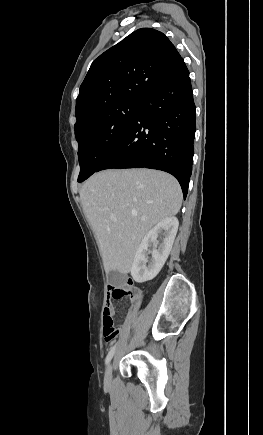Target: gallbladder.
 Returning <instances> with one entry per match:
<instances>
[{"mask_svg":"<svg viewBox=\"0 0 263 435\" xmlns=\"http://www.w3.org/2000/svg\"><path fill=\"white\" fill-rule=\"evenodd\" d=\"M107 279L111 285L118 287L124 285L126 281V276L125 274L120 273L118 271H110L108 273Z\"/></svg>","mask_w":263,"mask_h":435,"instance_id":"gallbladder-1","label":"gallbladder"}]
</instances>
